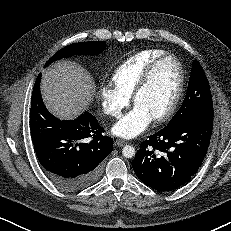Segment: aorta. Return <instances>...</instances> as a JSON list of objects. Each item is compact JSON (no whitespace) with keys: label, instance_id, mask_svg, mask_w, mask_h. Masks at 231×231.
I'll return each mask as SVG.
<instances>
[{"label":"aorta","instance_id":"obj_1","mask_svg":"<svg viewBox=\"0 0 231 231\" xmlns=\"http://www.w3.org/2000/svg\"><path fill=\"white\" fill-rule=\"evenodd\" d=\"M122 154L125 158H132L135 155V148L131 145H126L122 149Z\"/></svg>","mask_w":231,"mask_h":231}]
</instances>
